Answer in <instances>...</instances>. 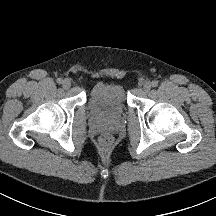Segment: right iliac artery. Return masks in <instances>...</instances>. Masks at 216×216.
<instances>
[{"label": "right iliac artery", "instance_id": "1", "mask_svg": "<svg viewBox=\"0 0 216 216\" xmlns=\"http://www.w3.org/2000/svg\"><path fill=\"white\" fill-rule=\"evenodd\" d=\"M57 83H58V84H62V83H63V80H62L61 78H58V79H57Z\"/></svg>", "mask_w": 216, "mask_h": 216}]
</instances>
